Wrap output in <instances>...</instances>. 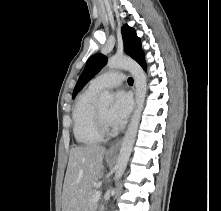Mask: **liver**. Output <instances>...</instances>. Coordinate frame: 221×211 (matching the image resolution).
I'll return each mask as SVG.
<instances>
[{
	"mask_svg": "<svg viewBox=\"0 0 221 211\" xmlns=\"http://www.w3.org/2000/svg\"><path fill=\"white\" fill-rule=\"evenodd\" d=\"M106 149L99 145L70 150L62 194V211H83L84 202L100 176Z\"/></svg>",
	"mask_w": 221,
	"mask_h": 211,
	"instance_id": "1",
	"label": "liver"
}]
</instances>
